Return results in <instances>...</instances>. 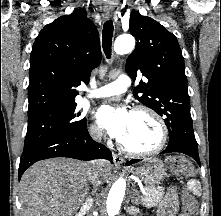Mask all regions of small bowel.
<instances>
[{
	"mask_svg": "<svg viewBox=\"0 0 221 216\" xmlns=\"http://www.w3.org/2000/svg\"><path fill=\"white\" fill-rule=\"evenodd\" d=\"M177 193L175 189H170L161 207V216H177ZM178 216H183L182 214Z\"/></svg>",
	"mask_w": 221,
	"mask_h": 216,
	"instance_id": "c3829d8e",
	"label": "small bowel"
}]
</instances>
